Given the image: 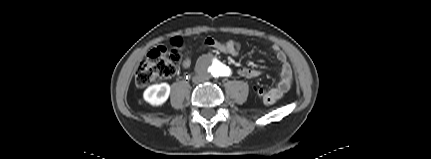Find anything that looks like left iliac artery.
<instances>
[{
  "label": "left iliac artery",
  "mask_w": 431,
  "mask_h": 159,
  "mask_svg": "<svg viewBox=\"0 0 431 159\" xmlns=\"http://www.w3.org/2000/svg\"><path fill=\"white\" fill-rule=\"evenodd\" d=\"M230 74V71L228 70L226 73H225V75H229Z\"/></svg>",
  "instance_id": "1"
}]
</instances>
